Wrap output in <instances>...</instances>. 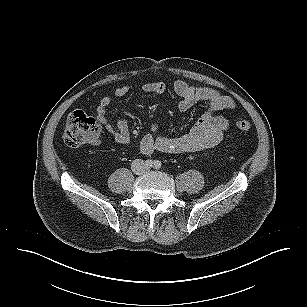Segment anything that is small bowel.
<instances>
[{"mask_svg": "<svg viewBox=\"0 0 307 307\" xmlns=\"http://www.w3.org/2000/svg\"><path fill=\"white\" fill-rule=\"evenodd\" d=\"M132 88L130 85L118 86L114 90V95L124 97ZM166 89L167 87L163 82H147L140 85V90L144 93L163 94ZM172 91L180 98L177 104L180 111H186L201 102L208 103L207 111L189 133L178 137H167L160 134L158 125L152 124L150 126L151 132L146 134L140 142V150L144 154L154 152L187 154L203 151L219 144L230 123L218 112L234 110L236 108L235 101L230 96L215 89L197 88L182 80L173 82ZM111 101L110 95L103 96L97 107L96 115L116 143L128 145L130 132L125 119L118 117L114 123H110L106 118L107 108Z\"/></svg>", "mask_w": 307, "mask_h": 307, "instance_id": "obj_1", "label": "small bowel"}]
</instances>
